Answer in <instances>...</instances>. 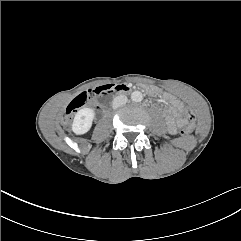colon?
I'll return each instance as SVG.
<instances>
[{
  "instance_id": "colon-1",
  "label": "colon",
  "mask_w": 241,
  "mask_h": 241,
  "mask_svg": "<svg viewBox=\"0 0 241 241\" xmlns=\"http://www.w3.org/2000/svg\"><path fill=\"white\" fill-rule=\"evenodd\" d=\"M110 88V86H99L92 89H89L80 95H78L75 99L71 101V103L68 105L64 112V122H68L71 118V115L80 107L87 104L89 101L94 100L101 94L107 92ZM185 117L187 119V127H184L181 131V133L184 136H189L191 132H194L196 130V119L194 118V113L192 110L187 109L185 111Z\"/></svg>"
}]
</instances>
